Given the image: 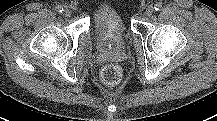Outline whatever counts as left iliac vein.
Masks as SVG:
<instances>
[{
  "instance_id": "left-iliac-vein-1",
  "label": "left iliac vein",
  "mask_w": 217,
  "mask_h": 121,
  "mask_svg": "<svg viewBox=\"0 0 217 121\" xmlns=\"http://www.w3.org/2000/svg\"><path fill=\"white\" fill-rule=\"evenodd\" d=\"M154 12V8L152 6H149L147 9H146V16L150 17Z\"/></svg>"
}]
</instances>
